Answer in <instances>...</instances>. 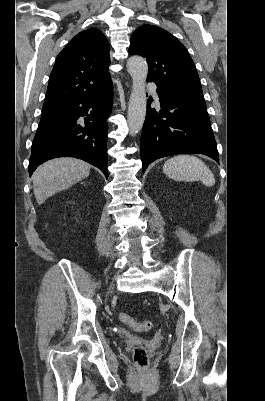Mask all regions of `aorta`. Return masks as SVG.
<instances>
[{
  "label": "aorta",
  "mask_w": 265,
  "mask_h": 401,
  "mask_svg": "<svg viewBox=\"0 0 265 401\" xmlns=\"http://www.w3.org/2000/svg\"><path fill=\"white\" fill-rule=\"evenodd\" d=\"M127 70L133 80L127 122L129 132L131 136H134L141 130L146 116L145 80L148 74V64L142 56H131L127 60Z\"/></svg>",
  "instance_id": "aorta-1"
}]
</instances>
